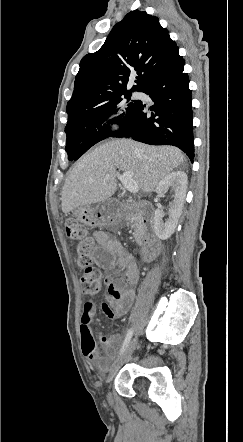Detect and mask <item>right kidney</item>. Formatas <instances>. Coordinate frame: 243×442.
I'll return each mask as SVG.
<instances>
[{
  "instance_id": "right-kidney-1",
  "label": "right kidney",
  "mask_w": 243,
  "mask_h": 442,
  "mask_svg": "<svg viewBox=\"0 0 243 442\" xmlns=\"http://www.w3.org/2000/svg\"><path fill=\"white\" fill-rule=\"evenodd\" d=\"M188 178L183 171H173L164 177L156 187L157 194H164L169 188L174 191V200L169 208V218L164 222V212L161 208L155 211L154 231L158 238L167 240L174 233L178 219L182 213Z\"/></svg>"
}]
</instances>
